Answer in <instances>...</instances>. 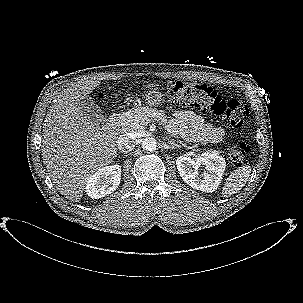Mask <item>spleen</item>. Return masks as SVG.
I'll return each instance as SVG.
<instances>
[{
  "label": "spleen",
  "instance_id": "1",
  "mask_svg": "<svg viewBox=\"0 0 303 303\" xmlns=\"http://www.w3.org/2000/svg\"><path fill=\"white\" fill-rule=\"evenodd\" d=\"M251 173L249 165H243L234 170L226 179L222 189V196L228 197L237 193L248 181Z\"/></svg>",
  "mask_w": 303,
  "mask_h": 303
}]
</instances>
